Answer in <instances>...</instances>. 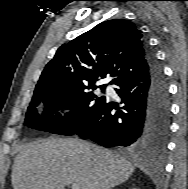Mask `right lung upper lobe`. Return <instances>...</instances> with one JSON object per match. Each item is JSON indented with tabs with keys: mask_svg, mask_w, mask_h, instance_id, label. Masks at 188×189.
<instances>
[{
	"mask_svg": "<svg viewBox=\"0 0 188 189\" xmlns=\"http://www.w3.org/2000/svg\"><path fill=\"white\" fill-rule=\"evenodd\" d=\"M149 51L142 31L132 22L124 19L104 21L59 47L45 66L34 94L97 87L96 81L106 75L114 77L110 84L117 86L148 72Z\"/></svg>",
	"mask_w": 188,
	"mask_h": 189,
	"instance_id": "cb5924a9",
	"label": "right lung upper lobe"
}]
</instances>
